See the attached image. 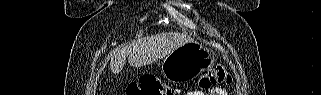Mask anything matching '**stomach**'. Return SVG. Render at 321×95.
Masks as SVG:
<instances>
[{"instance_id":"1","label":"stomach","mask_w":321,"mask_h":95,"mask_svg":"<svg viewBox=\"0 0 321 95\" xmlns=\"http://www.w3.org/2000/svg\"><path fill=\"white\" fill-rule=\"evenodd\" d=\"M214 63L210 50L192 41L168 54L162 62L161 71L167 81L179 83L196 78Z\"/></svg>"}]
</instances>
